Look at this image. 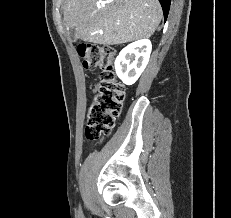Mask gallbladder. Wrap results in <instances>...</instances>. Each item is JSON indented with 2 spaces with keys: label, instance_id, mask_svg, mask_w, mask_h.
I'll return each instance as SVG.
<instances>
[{
  "label": "gallbladder",
  "instance_id": "obj_1",
  "mask_svg": "<svg viewBox=\"0 0 231 218\" xmlns=\"http://www.w3.org/2000/svg\"><path fill=\"white\" fill-rule=\"evenodd\" d=\"M75 30H70V36H71V39L73 40V41H76V37H75Z\"/></svg>",
  "mask_w": 231,
  "mask_h": 218
}]
</instances>
